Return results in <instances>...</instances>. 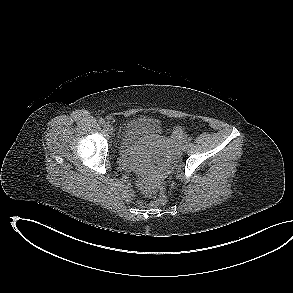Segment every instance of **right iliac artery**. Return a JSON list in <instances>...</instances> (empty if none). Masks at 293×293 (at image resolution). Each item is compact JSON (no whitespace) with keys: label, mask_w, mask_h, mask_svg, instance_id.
Segmentation results:
<instances>
[{"label":"right iliac artery","mask_w":293,"mask_h":293,"mask_svg":"<svg viewBox=\"0 0 293 293\" xmlns=\"http://www.w3.org/2000/svg\"><path fill=\"white\" fill-rule=\"evenodd\" d=\"M99 123H100V125H102V126H103V125H105V120H104V119H102V118H100V119H99Z\"/></svg>","instance_id":"1"}]
</instances>
